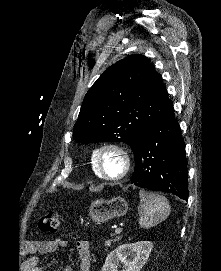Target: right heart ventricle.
Listing matches in <instances>:
<instances>
[{
  "instance_id": "obj_1",
  "label": "right heart ventricle",
  "mask_w": 221,
  "mask_h": 271,
  "mask_svg": "<svg viewBox=\"0 0 221 271\" xmlns=\"http://www.w3.org/2000/svg\"><path fill=\"white\" fill-rule=\"evenodd\" d=\"M87 162L89 163V172H90V176H94L96 179L99 177L97 175V171H96V167L100 166V163L98 162L97 158H88ZM101 183H103L105 180L103 178H101L99 180Z\"/></svg>"
}]
</instances>
